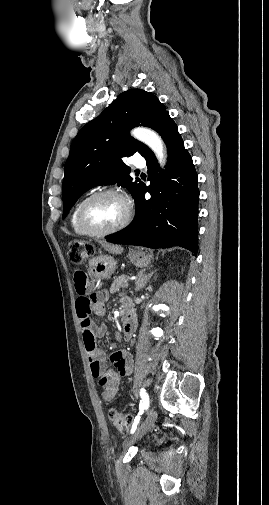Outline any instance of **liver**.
Returning a JSON list of instances; mask_svg holds the SVG:
<instances>
[{
  "label": "liver",
  "mask_w": 269,
  "mask_h": 505,
  "mask_svg": "<svg viewBox=\"0 0 269 505\" xmlns=\"http://www.w3.org/2000/svg\"><path fill=\"white\" fill-rule=\"evenodd\" d=\"M106 250L109 252V253H112V254H121L123 252V248L121 246H117V245H106Z\"/></svg>",
  "instance_id": "liver-1"
}]
</instances>
